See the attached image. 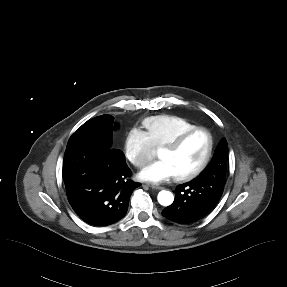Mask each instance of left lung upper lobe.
<instances>
[{
    "mask_svg": "<svg viewBox=\"0 0 287 287\" xmlns=\"http://www.w3.org/2000/svg\"><path fill=\"white\" fill-rule=\"evenodd\" d=\"M228 145L226 139H223L217 147L211 163L208 167L193 181L202 185H210V180L214 177H221L225 180L227 171Z\"/></svg>",
    "mask_w": 287,
    "mask_h": 287,
    "instance_id": "5c2ea615",
    "label": "left lung upper lobe"
}]
</instances>
